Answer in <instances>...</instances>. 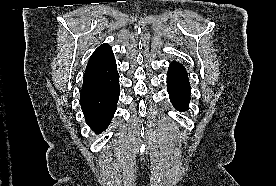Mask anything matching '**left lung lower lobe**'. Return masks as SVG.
Segmentation results:
<instances>
[{
    "mask_svg": "<svg viewBox=\"0 0 276 186\" xmlns=\"http://www.w3.org/2000/svg\"><path fill=\"white\" fill-rule=\"evenodd\" d=\"M167 86L170 99L178 111H186L190 101V84L184 66L171 62L167 74Z\"/></svg>",
    "mask_w": 276,
    "mask_h": 186,
    "instance_id": "1",
    "label": "left lung lower lobe"
}]
</instances>
